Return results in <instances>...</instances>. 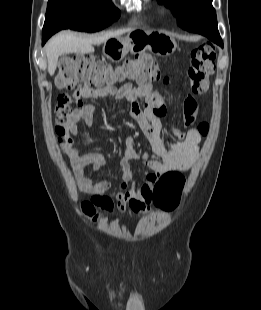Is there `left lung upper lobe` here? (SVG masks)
<instances>
[{
	"label": "left lung upper lobe",
	"instance_id": "5c2ea615",
	"mask_svg": "<svg viewBox=\"0 0 261 310\" xmlns=\"http://www.w3.org/2000/svg\"><path fill=\"white\" fill-rule=\"evenodd\" d=\"M165 4L177 17L178 25L189 31L204 20L217 23L216 12L212 6V0H158Z\"/></svg>",
	"mask_w": 261,
	"mask_h": 310
}]
</instances>
